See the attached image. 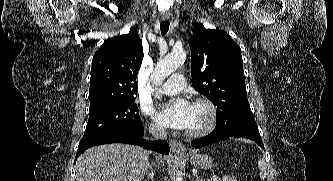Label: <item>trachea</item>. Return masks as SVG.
I'll return each instance as SVG.
<instances>
[{"mask_svg":"<svg viewBox=\"0 0 333 181\" xmlns=\"http://www.w3.org/2000/svg\"><path fill=\"white\" fill-rule=\"evenodd\" d=\"M160 30H161L162 35H165L169 30V21L161 22Z\"/></svg>","mask_w":333,"mask_h":181,"instance_id":"obj_1","label":"trachea"}]
</instances>
